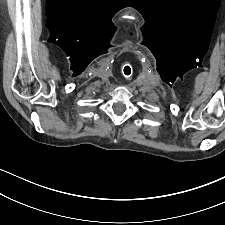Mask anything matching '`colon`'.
<instances>
[{"label": "colon", "mask_w": 225, "mask_h": 225, "mask_svg": "<svg viewBox=\"0 0 225 225\" xmlns=\"http://www.w3.org/2000/svg\"><path fill=\"white\" fill-rule=\"evenodd\" d=\"M124 68H125V71L127 73L125 75L129 76L131 74V66L129 64H125Z\"/></svg>", "instance_id": "colon-1"}]
</instances>
